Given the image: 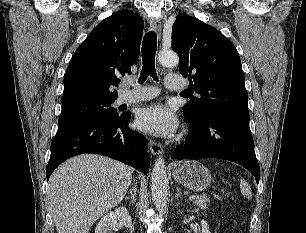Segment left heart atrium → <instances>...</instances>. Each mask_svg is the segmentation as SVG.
Listing matches in <instances>:
<instances>
[{
	"instance_id": "left-heart-atrium-1",
	"label": "left heart atrium",
	"mask_w": 306,
	"mask_h": 233,
	"mask_svg": "<svg viewBox=\"0 0 306 233\" xmlns=\"http://www.w3.org/2000/svg\"><path fill=\"white\" fill-rule=\"evenodd\" d=\"M136 125L143 132L169 136L177 130L178 123L170 106L156 103L139 112Z\"/></svg>"
}]
</instances>
